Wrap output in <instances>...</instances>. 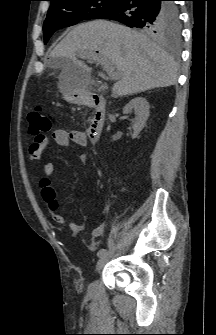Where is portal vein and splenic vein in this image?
Listing matches in <instances>:
<instances>
[{
	"mask_svg": "<svg viewBox=\"0 0 216 335\" xmlns=\"http://www.w3.org/2000/svg\"><path fill=\"white\" fill-rule=\"evenodd\" d=\"M81 58L92 59L97 61L102 68L107 72L108 76L112 81H116L119 78L117 74L115 65L110 62L106 57L98 55L96 53H84L81 55Z\"/></svg>",
	"mask_w": 216,
	"mask_h": 335,
	"instance_id": "obj_1",
	"label": "portal vein and splenic vein"
}]
</instances>
